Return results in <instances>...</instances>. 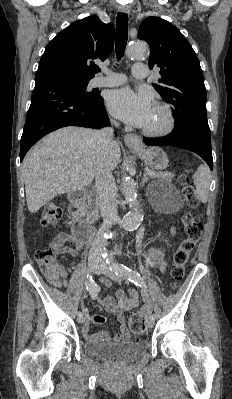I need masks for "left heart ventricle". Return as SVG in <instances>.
I'll return each mask as SVG.
<instances>
[{
  "mask_svg": "<svg viewBox=\"0 0 232 399\" xmlns=\"http://www.w3.org/2000/svg\"><path fill=\"white\" fill-rule=\"evenodd\" d=\"M164 124H165V116L163 112L157 106H154L152 117L147 122V124L140 129L145 131H155L162 128Z\"/></svg>",
  "mask_w": 232,
  "mask_h": 399,
  "instance_id": "left-heart-ventricle-1",
  "label": "left heart ventricle"
}]
</instances>
